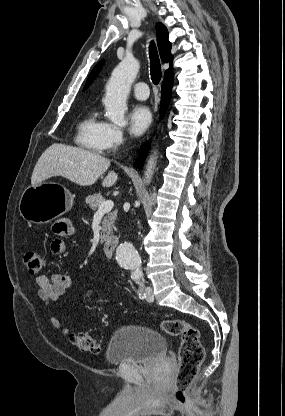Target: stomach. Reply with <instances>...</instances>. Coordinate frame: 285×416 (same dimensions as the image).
<instances>
[{"label":"stomach","mask_w":285,"mask_h":416,"mask_svg":"<svg viewBox=\"0 0 285 416\" xmlns=\"http://www.w3.org/2000/svg\"><path fill=\"white\" fill-rule=\"evenodd\" d=\"M73 200L72 194L61 184L42 182L23 192L19 202L20 216L32 224H48L69 212Z\"/></svg>","instance_id":"stomach-1"}]
</instances>
